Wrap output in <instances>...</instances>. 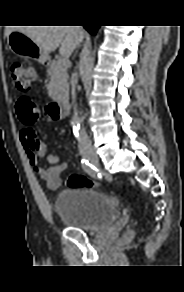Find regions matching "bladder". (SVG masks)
<instances>
[{"instance_id": "31cf9c89", "label": "bladder", "mask_w": 184, "mask_h": 292, "mask_svg": "<svg viewBox=\"0 0 184 292\" xmlns=\"http://www.w3.org/2000/svg\"><path fill=\"white\" fill-rule=\"evenodd\" d=\"M57 216L67 227L97 232L112 225L118 216L117 203L91 187L67 188L54 202Z\"/></svg>"}]
</instances>
